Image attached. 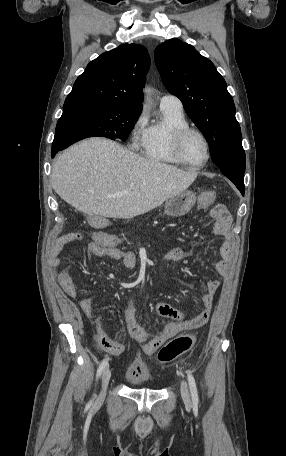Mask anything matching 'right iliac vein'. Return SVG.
Masks as SVG:
<instances>
[{"instance_id": "1", "label": "right iliac vein", "mask_w": 286, "mask_h": 456, "mask_svg": "<svg viewBox=\"0 0 286 456\" xmlns=\"http://www.w3.org/2000/svg\"><path fill=\"white\" fill-rule=\"evenodd\" d=\"M110 378L111 370L109 368H106L102 374V390L100 392V395L98 396L97 403H100L103 400Z\"/></svg>"}]
</instances>
